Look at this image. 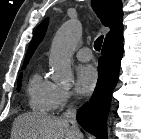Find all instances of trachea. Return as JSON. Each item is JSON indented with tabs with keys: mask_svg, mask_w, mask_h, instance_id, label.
Instances as JSON below:
<instances>
[{
	"mask_svg": "<svg viewBox=\"0 0 141 139\" xmlns=\"http://www.w3.org/2000/svg\"><path fill=\"white\" fill-rule=\"evenodd\" d=\"M103 42V36H99L94 42V48L96 51H100Z\"/></svg>",
	"mask_w": 141,
	"mask_h": 139,
	"instance_id": "obj_1",
	"label": "trachea"
}]
</instances>
